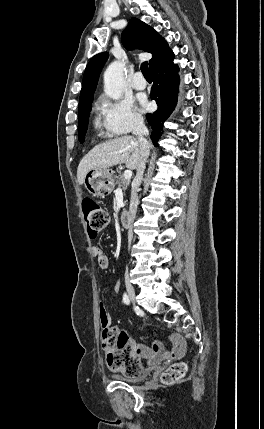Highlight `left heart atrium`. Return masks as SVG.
<instances>
[{
    "mask_svg": "<svg viewBox=\"0 0 264 429\" xmlns=\"http://www.w3.org/2000/svg\"><path fill=\"white\" fill-rule=\"evenodd\" d=\"M140 104H141L142 109H144V110L148 109V103L145 99H141Z\"/></svg>",
    "mask_w": 264,
    "mask_h": 429,
    "instance_id": "1",
    "label": "left heart atrium"
}]
</instances>
